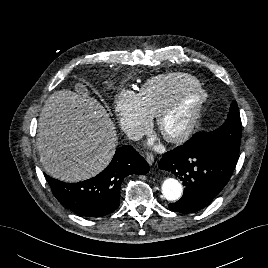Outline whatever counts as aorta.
I'll use <instances>...</instances> for the list:
<instances>
[{
	"mask_svg": "<svg viewBox=\"0 0 268 268\" xmlns=\"http://www.w3.org/2000/svg\"><path fill=\"white\" fill-rule=\"evenodd\" d=\"M162 194L168 201L178 200L183 192L181 183L174 178H166L162 182Z\"/></svg>",
	"mask_w": 268,
	"mask_h": 268,
	"instance_id": "1",
	"label": "aorta"
}]
</instances>
